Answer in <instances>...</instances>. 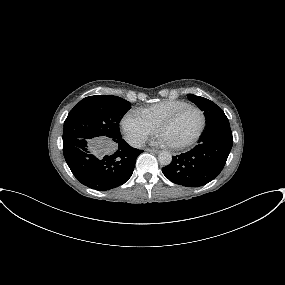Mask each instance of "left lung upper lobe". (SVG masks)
<instances>
[{
  "mask_svg": "<svg viewBox=\"0 0 285 285\" xmlns=\"http://www.w3.org/2000/svg\"><path fill=\"white\" fill-rule=\"evenodd\" d=\"M188 98L190 101L194 102L202 111H204L206 123L218 119H227L223 110L219 108L214 102L193 94H189Z\"/></svg>",
  "mask_w": 285,
  "mask_h": 285,
  "instance_id": "left-lung-upper-lobe-1",
  "label": "left lung upper lobe"
}]
</instances>
